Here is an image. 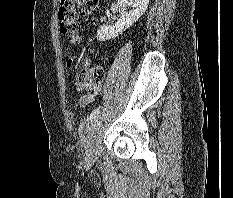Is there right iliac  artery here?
<instances>
[{"instance_id":"82829eb1","label":"right iliac artery","mask_w":233,"mask_h":198,"mask_svg":"<svg viewBox=\"0 0 233 198\" xmlns=\"http://www.w3.org/2000/svg\"><path fill=\"white\" fill-rule=\"evenodd\" d=\"M100 112V107L96 108L90 115V120L92 121L93 119L96 118V116L99 114Z\"/></svg>"}]
</instances>
